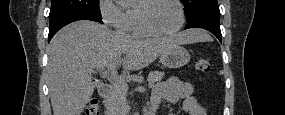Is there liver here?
<instances>
[{"instance_id":"liver-1","label":"liver","mask_w":285,"mask_h":115,"mask_svg":"<svg viewBox=\"0 0 285 115\" xmlns=\"http://www.w3.org/2000/svg\"><path fill=\"white\" fill-rule=\"evenodd\" d=\"M209 37L191 29L170 38L141 39L81 20L62 28L47 47V77L54 115H81L97 84L92 74L122 63L124 72L145 68L174 45Z\"/></svg>"}]
</instances>
